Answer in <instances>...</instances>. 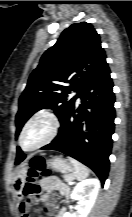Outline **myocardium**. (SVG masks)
<instances>
[{
	"label": "myocardium",
	"instance_id": "1",
	"mask_svg": "<svg viewBox=\"0 0 132 217\" xmlns=\"http://www.w3.org/2000/svg\"><path fill=\"white\" fill-rule=\"evenodd\" d=\"M39 118H46L50 121V124H51V128H50V132H49V135L46 137L45 140H43L41 143H39L38 145L32 147V148H26L24 145H23V137H24V134L27 130V128L34 122L36 121L37 119ZM59 127H60V121H59V118L57 116V114L49 109V108H42L38 111H36L27 121L26 123L24 124L21 132H20V135H19V144L21 146V148L25 151H36L46 145H48L49 143H51L55 137L57 136L58 134V131H59Z\"/></svg>",
	"mask_w": 132,
	"mask_h": 217
}]
</instances>
